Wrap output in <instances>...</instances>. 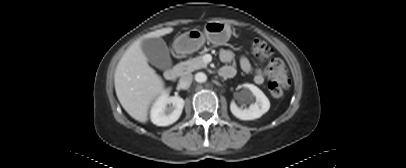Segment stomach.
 <instances>
[{
  "label": "stomach",
  "mask_w": 406,
  "mask_h": 168,
  "mask_svg": "<svg viewBox=\"0 0 406 168\" xmlns=\"http://www.w3.org/2000/svg\"><path fill=\"white\" fill-rule=\"evenodd\" d=\"M231 36L230 25L221 21H209L204 31L193 29L180 35L174 43V49L180 54H190L199 50L206 40L214 45L226 43Z\"/></svg>",
  "instance_id": "0dacf381"
}]
</instances>
